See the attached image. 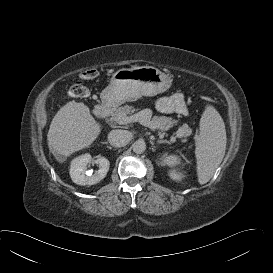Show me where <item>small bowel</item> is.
Instances as JSON below:
<instances>
[{
	"label": "small bowel",
	"mask_w": 273,
	"mask_h": 273,
	"mask_svg": "<svg viewBox=\"0 0 273 273\" xmlns=\"http://www.w3.org/2000/svg\"><path fill=\"white\" fill-rule=\"evenodd\" d=\"M156 108L164 113L187 114L184 95L181 93L159 98L156 102Z\"/></svg>",
	"instance_id": "1"
}]
</instances>
